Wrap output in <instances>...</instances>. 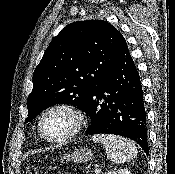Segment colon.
<instances>
[{"instance_id": "5ec220e1", "label": "colon", "mask_w": 175, "mask_h": 174, "mask_svg": "<svg viewBox=\"0 0 175 174\" xmlns=\"http://www.w3.org/2000/svg\"><path fill=\"white\" fill-rule=\"evenodd\" d=\"M26 174H38L36 168L34 167H29L26 171Z\"/></svg>"}]
</instances>
